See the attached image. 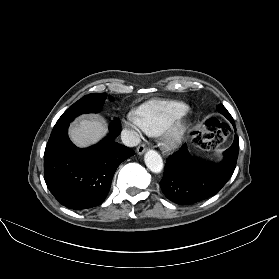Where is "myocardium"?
I'll list each match as a JSON object with an SVG mask.
<instances>
[{
    "label": "myocardium",
    "instance_id": "myocardium-1",
    "mask_svg": "<svg viewBox=\"0 0 279 279\" xmlns=\"http://www.w3.org/2000/svg\"><path fill=\"white\" fill-rule=\"evenodd\" d=\"M189 120L184 115L162 133L163 144L168 149L179 147L187 133Z\"/></svg>",
    "mask_w": 279,
    "mask_h": 279
}]
</instances>
